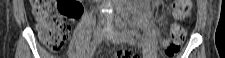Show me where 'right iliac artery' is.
Instances as JSON below:
<instances>
[{
  "mask_svg": "<svg viewBox=\"0 0 225 58\" xmlns=\"http://www.w3.org/2000/svg\"><path fill=\"white\" fill-rule=\"evenodd\" d=\"M94 51H95V49L93 48V46L91 44L90 47L87 50L85 58H92L93 54H94Z\"/></svg>",
  "mask_w": 225,
  "mask_h": 58,
  "instance_id": "obj_1",
  "label": "right iliac artery"
}]
</instances>
